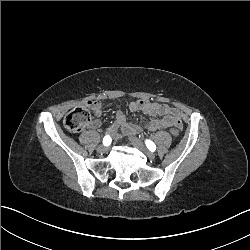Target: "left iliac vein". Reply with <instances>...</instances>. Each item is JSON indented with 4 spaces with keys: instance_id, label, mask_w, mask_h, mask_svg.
Segmentation results:
<instances>
[{
    "instance_id": "1",
    "label": "left iliac vein",
    "mask_w": 250,
    "mask_h": 250,
    "mask_svg": "<svg viewBox=\"0 0 250 250\" xmlns=\"http://www.w3.org/2000/svg\"><path fill=\"white\" fill-rule=\"evenodd\" d=\"M130 141L136 148H138L141 152H143L147 158L149 159L155 158V155L151 151H149L143 144V142L140 141L138 138L131 137Z\"/></svg>"
}]
</instances>
